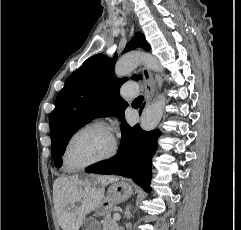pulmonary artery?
Here are the masks:
<instances>
[{
    "label": "pulmonary artery",
    "instance_id": "1",
    "mask_svg": "<svg viewBox=\"0 0 241 230\" xmlns=\"http://www.w3.org/2000/svg\"><path fill=\"white\" fill-rule=\"evenodd\" d=\"M138 92V86L134 82L125 83L121 87V96L124 99L131 100L136 97Z\"/></svg>",
    "mask_w": 241,
    "mask_h": 230
}]
</instances>
